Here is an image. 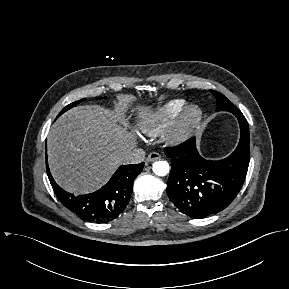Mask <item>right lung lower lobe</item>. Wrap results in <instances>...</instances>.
Segmentation results:
<instances>
[{
	"mask_svg": "<svg viewBox=\"0 0 289 289\" xmlns=\"http://www.w3.org/2000/svg\"><path fill=\"white\" fill-rule=\"evenodd\" d=\"M143 167L144 162L122 165L101 189L90 194L75 196L56 184L46 160L48 178L60 202L80 218L96 223L113 220L125 208L133 191V181Z\"/></svg>",
	"mask_w": 289,
	"mask_h": 289,
	"instance_id": "obj_1",
	"label": "right lung lower lobe"
}]
</instances>
